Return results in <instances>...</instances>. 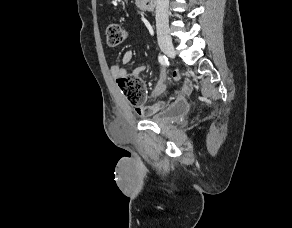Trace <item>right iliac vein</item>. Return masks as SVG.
Listing matches in <instances>:
<instances>
[{
	"label": "right iliac vein",
	"instance_id": "right-iliac-vein-1",
	"mask_svg": "<svg viewBox=\"0 0 292 228\" xmlns=\"http://www.w3.org/2000/svg\"><path fill=\"white\" fill-rule=\"evenodd\" d=\"M160 48L170 58H174L176 56V51L174 49L173 44L170 41L160 42Z\"/></svg>",
	"mask_w": 292,
	"mask_h": 228
}]
</instances>
